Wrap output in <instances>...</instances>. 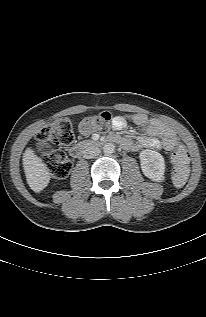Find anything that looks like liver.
Returning a JSON list of instances; mask_svg holds the SVG:
<instances>
[{
	"label": "liver",
	"instance_id": "1",
	"mask_svg": "<svg viewBox=\"0 0 206 317\" xmlns=\"http://www.w3.org/2000/svg\"><path fill=\"white\" fill-rule=\"evenodd\" d=\"M23 167L29 187L36 193L42 191L50 181V173L45 163L29 147L23 154Z\"/></svg>",
	"mask_w": 206,
	"mask_h": 317
}]
</instances>
